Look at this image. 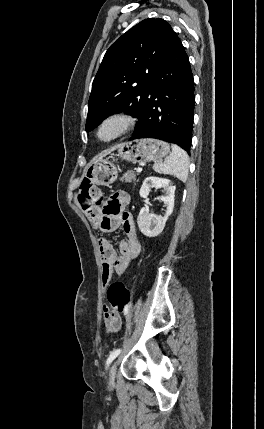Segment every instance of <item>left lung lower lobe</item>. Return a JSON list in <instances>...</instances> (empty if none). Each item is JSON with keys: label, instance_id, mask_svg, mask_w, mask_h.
<instances>
[{"label": "left lung lower lobe", "instance_id": "0a47b994", "mask_svg": "<svg viewBox=\"0 0 264 429\" xmlns=\"http://www.w3.org/2000/svg\"><path fill=\"white\" fill-rule=\"evenodd\" d=\"M194 104L189 59L172 30L130 140L156 138L175 143L190 153Z\"/></svg>", "mask_w": 264, "mask_h": 429}]
</instances>
